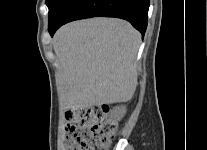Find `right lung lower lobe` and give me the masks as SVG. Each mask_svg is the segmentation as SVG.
I'll return each mask as SVG.
<instances>
[{"instance_id":"98d812e1","label":"right lung lower lobe","mask_w":207,"mask_h":150,"mask_svg":"<svg viewBox=\"0 0 207 150\" xmlns=\"http://www.w3.org/2000/svg\"><path fill=\"white\" fill-rule=\"evenodd\" d=\"M149 0H67L48 24L51 36L63 24L97 16L129 21L142 35L147 27Z\"/></svg>"}]
</instances>
